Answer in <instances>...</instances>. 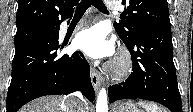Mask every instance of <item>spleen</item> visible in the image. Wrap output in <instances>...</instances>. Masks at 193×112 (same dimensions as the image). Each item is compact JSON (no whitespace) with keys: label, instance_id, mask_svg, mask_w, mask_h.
I'll return each mask as SVG.
<instances>
[{"label":"spleen","instance_id":"1","mask_svg":"<svg viewBox=\"0 0 193 112\" xmlns=\"http://www.w3.org/2000/svg\"><path fill=\"white\" fill-rule=\"evenodd\" d=\"M139 105H141L146 110V112H163V110L155 103L139 101Z\"/></svg>","mask_w":193,"mask_h":112}]
</instances>
